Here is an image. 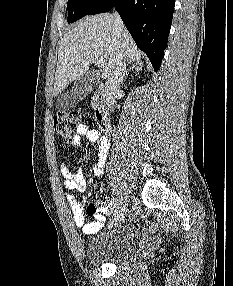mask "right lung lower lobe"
I'll return each mask as SVG.
<instances>
[{"label": "right lung lower lobe", "instance_id": "98d812e1", "mask_svg": "<svg viewBox=\"0 0 233 286\" xmlns=\"http://www.w3.org/2000/svg\"><path fill=\"white\" fill-rule=\"evenodd\" d=\"M175 0H101L89 15L115 8L137 46L158 71L167 45Z\"/></svg>", "mask_w": 233, "mask_h": 286}]
</instances>
